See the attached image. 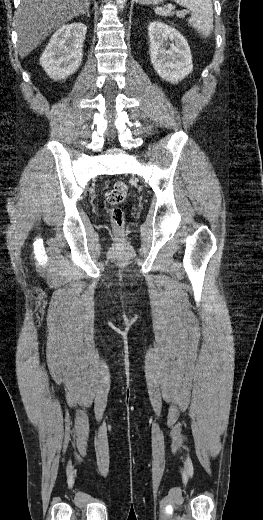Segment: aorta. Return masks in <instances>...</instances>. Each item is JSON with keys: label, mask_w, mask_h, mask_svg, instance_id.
Segmentation results:
<instances>
[{"label": "aorta", "mask_w": 263, "mask_h": 520, "mask_svg": "<svg viewBox=\"0 0 263 520\" xmlns=\"http://www.w3.org/2000/svg\"><path fill=\"white\" fill-rule=\"evenodd\" d=\"M127 0H116V4L120 9H123Z\"/></svg>", "instance_id": "1"}]
</instances>
